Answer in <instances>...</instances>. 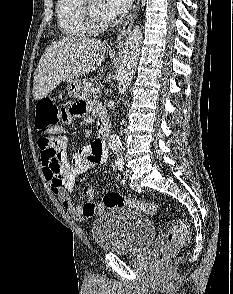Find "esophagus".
I'll return each mask as SVG.
<instances>
[{
  "label": "esophagus",
  "mask_w": 233,
  "mask_h": 294,
  "mask_svg": "<svg viewBox=\"0 0 233 294\" xmlns=\"http://www.w3.org/2000/svg\"><path fill=\"white\" fill-rule=\"evenodd\" d=\"M139 0H136L134 7H133V11L132 13L129 15V17L127 18L126 22L124 23L123 29L121 30L119 36L117 37L116 41H115V45L120 46L124 43L125 38L128 34V32L130 31V28L133 24V20L136 16L137 10H138V2Z\"/></svg>",
  "instance_id": "esophagus-1"
}]
</instances>
